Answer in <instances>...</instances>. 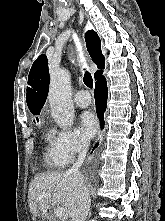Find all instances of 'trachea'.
Masks as SVG:
<instances>
[{
  "label": "trachea",
  "mask_w": 165,
  "mask_h": 221,
  "mask_svg": "<svg viewBox=\"0 0 165 221\" xmlns=\"http://www.w3.org/2000/svg\"><path fill=\"white\" fill-rule=\"evenodd\" d=\"M83 82L87 87H89V88L93 87V79H92V76L89 72H86L84 74Z\"/></svg>",
  "instance_id": "trachea-1"
}]
</instances>
